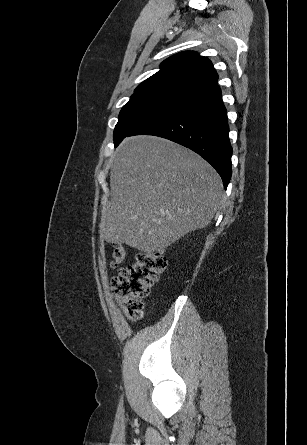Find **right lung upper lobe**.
Wrapping results in <instances>:
<instances>
[{"label":"right lung upper lobe","mask_w":307,"mask_h":445,"mask_svg":"<svg viewBox=\"0 0 307 445\" xmlns=\"http://www.w3.org/2000/svg\"><path fill=\"white\" fill-rule=\"evenodd\" d=\"M217 80L209 59L185 51L163 61L161 69L142 82L132 96L160 95L188 100L215 87Z\"/></svg>","instance_id":"right-lung-upper-lobe-1"}]
</instances>
